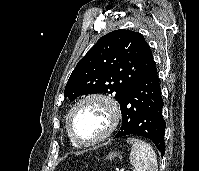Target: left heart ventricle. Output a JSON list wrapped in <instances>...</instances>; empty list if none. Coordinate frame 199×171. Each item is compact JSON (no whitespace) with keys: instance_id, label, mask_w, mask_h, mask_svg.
I'll use <instances>...</instances> for the list:
<instances>
[{"instance_id":"obj_1","label":"left heart ventricle","mask_w":199,"mask_h":171,"mask_svg":"<svg viewBox=\"0 0 199 171\" xmlns=\"http://www.w3.org/2000/svg\"><path fill=\"white\" fill-rule=\"evenodd\" d=\"M108 111L97 102H87L74 112L71 124L78 139L90 141L101 136L109 126Z\"/></svg>"}]
</instances>
